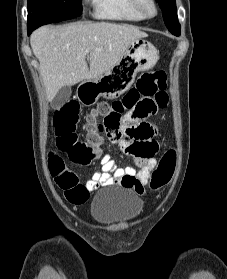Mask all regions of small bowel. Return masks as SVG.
Returning a JSON list of instances; mask_svg holds the SVG:
<instances>
[{
	"label": "small bowel",
	"mask_w": 227,
	"mask_h": 279,
	"mask_svg": "<svg viewBox=\"0 0 227 279\" xmlns=\"http://www.w3.org/2000/svg\"><path fill=\"white\" fill-rule=\"evenodd\" d=\"M146 124L151 126L154 129V134L150 141L157 146V142L155 141L154 137L157 135V129L155 126L148 122H138L137 120L128 118L125 121V124L122 130L125 128L133 125H141ZM106 133L109 138L120 148V150L124 153L130 154L129 147L132 143H124L121 142L116 135L112 134L107 126H104V131L102 134ZM135 163L138 165L139 170L131 166L125 167H117L113 158L105 154L101 157V170L96 171L92 174V176L86 181L82 191H80L76 196V203L83 204L85 203L90 196V192L96 190L101 186H110L114 184H122L124 185V181L130 177L137 178L141 181L142 189L144 186L149 182L151 171L156 166V159L154 157L146 159V158H139L133 156ZM58 181L57 178H55ZM134 189V187H132ZM136 189V188H135Z\"/></svg>",
	"instance_id": "obj_1"
}]
</instances>
